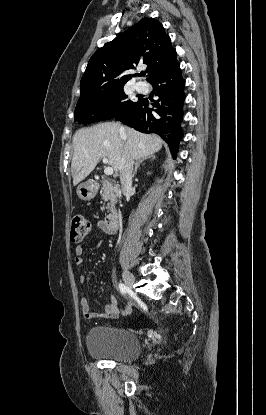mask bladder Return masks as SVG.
Wrapping results in <instances>:
<instances>
[{"label":"bladder","mask_w":266,"mask_h":415,"mask_svg":"<svg viewBox=\"0 0 266 415\" xmlns=\"http://www.w3.org/2000/svg\"><path fill=\"white\" fill-rule=\"evenodd\" d=\"M88 353L95 358L130 362L137 359L142 346L132 332L106 325L92 327L86 336Z\"/></svg>","instance_id":"bladder-1"}]
</instances>
